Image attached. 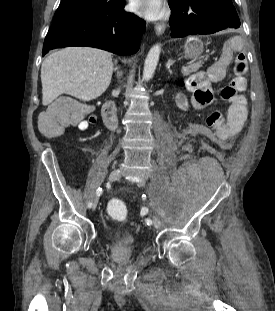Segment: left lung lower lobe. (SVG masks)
<instances>
[{"label":"left lung lower lobe","mask_w":275,"mask_h":311,"mask_svg":"<svg viewBox=\"0 0 275 311\" xmlns=\"http://www.w3.org/2000/svg\"><path fill=\"white\" fill-rule=\"evenodd\" d=\"M172 15L171 37L191 34H212L224 29L240 27V20L232 3L223 0H169Z\"/></svg>","instance_id":"left-lung-lower-lobe-1"}]
</instances>
